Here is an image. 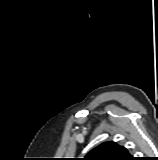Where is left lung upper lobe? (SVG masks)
<instances>
[{"label":"left lung upper lobe","instance_id":"left-lung-upper-lobe-1","mask_svg":"<svg viewBox=\"0 0 158 160\" xmlns=\"http://www.w3.org/2000/svg\"><path fill=\"white\" fill-rule=\"evenodd\" d=\"M125 147L116 142H104L92 149L82 160H133Z\"/></svg>","mask_w":158,"mask_h":160}]
</instances>
